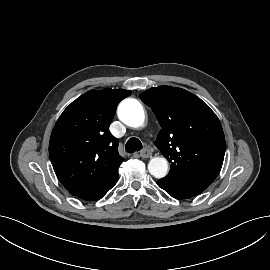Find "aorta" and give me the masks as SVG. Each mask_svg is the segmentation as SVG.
I'll return each instance as SVG.
<instances>
[{
  "label": "aorta",
  "mask_w": 270,
  "mask_h": 270,
  "mask_svg": "<svg viewBox=\"0 0 270 270\" xmlns=\"http://www.w3.org/2000/svg\"><path fill=\"white\" fill-rule=\"evenodd\" d=\"M117 114L119 119L129 127L138 128L144 125L145 112L136 99H124L118 106ZM148 170L155 178H163L168 172V162L164 157H154L148 163Z\"/></svg>",
  "instance_id": "762f6f07"
}]
</instances>
